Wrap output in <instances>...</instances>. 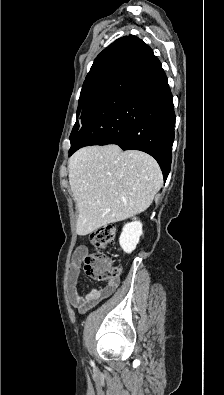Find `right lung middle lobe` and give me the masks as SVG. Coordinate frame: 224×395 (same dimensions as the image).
<instances>
[{"instance_id": "dd1d6c3e", "label": "right lung middle lobe", "mask_w": 224, "mask_h": 395, "mask_svg": "<svg viewBox=\"0 0 224 395\" xmlns=\"http://www.w3.org/2000/svg\"><path fill=\"white\" fill-rule=\"evenodd\" d=\"M121 70L112 71L84 83L77 110V120L70 135L71 146L75 144L91 116L114 86Z\"/></svg>"}]
</instances>
